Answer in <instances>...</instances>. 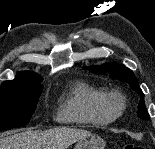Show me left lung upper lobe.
I'll use <instances>...</instances> for the list:
<instances>
[{
  "label": "left lung upper lobe",
  "instance_id": "1",
  "mask_svg": "<svg viewBox=\"0 0 155 149\" xmlns=\"http://www.w3.org/2000/svg\"><path fill=\"white\" fill-rule=\"evenodd\" d=\"M84 69H88L89 71L96 74H110L112 79H117L122 82H126L132 88L133 91L140 95V103L138 105L137 115L140 119L148 120L149 114L147 112L146 106L144 104V94L139 87L138 81L129 68L125 67L122 64H117L115 62L107 63L102 66H90L83 67Z\"/></svg>",
  "mask_w": 155,
  "mask_h": 149
}]
</instances>
